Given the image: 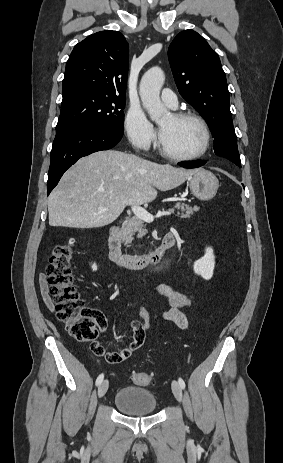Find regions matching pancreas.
I'll return each instance as SVG.
<instances>
[{
	"mask_svg": "<svg viewBox=\"0 0 283 463\" xmlns=\"http://www.w3.org/2000/svg\"><path fill=\"white\" fill-rule=\"evenodd\" d=\"M177 209V215L181 218H191L195 211L199 210L198 206H189L184 203H177L173 208H170V212H174ZM123 238L127 243H131L133 236L137 233V237L141 238L146 233L147 230L144 227V221L138 217L130 218L122 227Z\"/></svg>",
	"mask_w": 283,
	"mask_h": 463,
	"instance_id": "cf45deb5",
	"label": "pancreas"
}]
</instances>
